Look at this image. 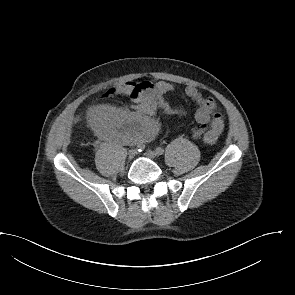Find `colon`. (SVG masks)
I'll return each mask as SVG.
<instances>
[{
    "mask_svg": "<svg viewBox=\"0 0 295 295\" xmlns=\"http://www.w3.org/2000/svg\"><path fill=\"white\" fill-rule=\"evenodd\" d=\"M111 93H112V91L109 92V93H107L105 96H109ZM203 138H204V141L207 144H210V145L214 144L216 142V140H217V136L214 135V134H212V133H206V134H204V137Z\"/></svg>",
    "mask_w": 295,
    "mask_h": 295,
    "instance_id": "obj_1",
    "label": "colon"
}]
</instances>
